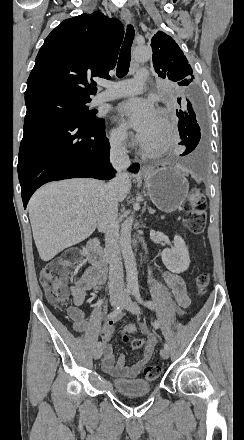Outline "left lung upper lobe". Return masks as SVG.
<instances>
[{"mask_svg": "<svg viewBox=\"0 0 244 440\" xmlns=\"http://www.w3.org/2000/svg\"><path fill=\"white\" fill-rule=\"evenodd\" d=\"M151 41L153 65L158 76L179 81L180 86L192 85L194 76L191 66L172 37L158 31Z\"/></svg>", "mask_w": 244, "mask_h": 440, "instance_id": "left-lung-upper-lobe-1", "label": "left lung upper lobe"}]
</instances>
